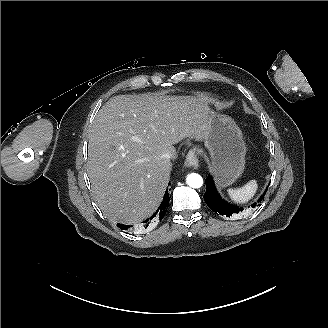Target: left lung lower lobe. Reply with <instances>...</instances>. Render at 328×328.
I'll list each match as a JSON object with an SVG mask.
<instances>
[{"label": "left lung lower lobe", "mask_w": 328, "mask_h": 328, "mask_svg": "<svg viewBox=\"0 0 328 328\" xmlns=\"http://www.w3.org/2000/svg\"><path fill=\"white\" fill-rule=\"evenodd\" d=\"M206 193L203 198L207 204V206L213 210L216 214H220L222 216L231 217L238 213H244V209L241 207H237L231 205L219 196L214 182L211 177L206 178ZM265 196V193L258 199V202L262 201V198ZM256 203L252 204L251 207L254 208ZM248 206V208H251Z\"/></svg>", "instance_id": "0a47b994"}]
</instances>
